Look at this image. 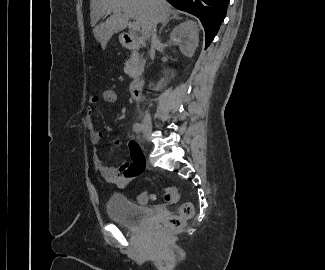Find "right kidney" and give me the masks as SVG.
Returning a JSON list of instances; mask_svg holds the SVG:
<instances>
[{"mask_svg": "<svg viewBox=\"0 0 325 270\" xmlns=\"http://www.w3.org/2000/svg\"><path fill=\"white\" fill-rule=\"evenodd\" d=\"M198 32L197 24L193 21L183 22L172 30L170 39L183 58H190L194 55L198 46ZM173 53L177 55L176 50H173ZM181 56H177L175 61L180 60Z\"/></svg>", "mask_w": 325, "mask_h": 270, "instance_id": "ca27d5eb", "label": "right kidney"}]
</instances>
